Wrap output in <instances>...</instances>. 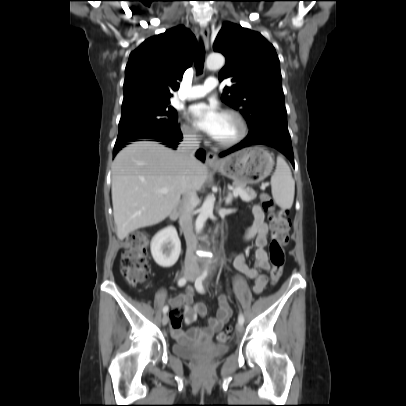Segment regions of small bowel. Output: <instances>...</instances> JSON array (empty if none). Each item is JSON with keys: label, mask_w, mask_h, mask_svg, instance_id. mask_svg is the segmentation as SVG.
Listing matches in <instances>:
<instances>
[{"label": "small bowel", "mask_w": 406, "mask_h": 406, "mask_svg": "<svg viewBox=\"0 0 406 406\" xmlns=\"http://www.w3.org/2000/svg\"><path fill=\"white\" fill-rule=\"evenodd\" d=\"M254 222L247 230L245 239L250 240L255 238L257 250L254 254V265L249 266L247 263L248 256L246 253H235L231 256V261L241 274L246 278L254 280L252 290L259 294L265 288L270 270V263L266 251V245L269 234V227L264 220V213L260 206L255 205L252 208ZM195 290L189 288L185 293L170 299V304L176 311L186 313V323L190 324L197 315L205 316L207 309L203 303H194ZM232 309L225 295H220L218 298V309L216 317L208 319V327L203 329L195 327L184 333L181 329V324L174 327L171 324L172 334L179 340L184 341L188 338L210 339L217 333L231 318ZM171 322V320H170Z\"/></svg>", "instance_id": "small-bowel-1"}]
</instances>
